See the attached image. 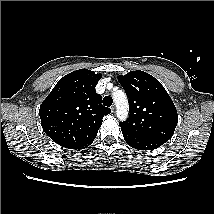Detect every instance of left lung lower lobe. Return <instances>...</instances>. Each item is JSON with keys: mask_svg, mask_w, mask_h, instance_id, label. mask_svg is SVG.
<instances>
[{"mask_svg": "<svg viewBox=\"0 0 214 214\" xmlns=\"http://www.w3.org/2000/svg\"><path fill=\"white\" fill-rule=\"evenodd\" d=\"M123 137L127 144L138 150H152L160 147L163 143L132 134L130 132L122 131Z\"/></svg>", "mask_w": 214, "mask_h": 214, "instance_id": "obj_1", "label": "left lung lower lobe"}]
</instances>
